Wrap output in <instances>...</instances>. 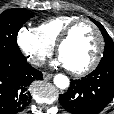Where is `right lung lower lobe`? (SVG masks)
Returning a JSON list of instances; mask_svg holds the SVG:
<instances>
[{
	"label": "right lung lower lobe",
	"mask_w": 114,
	"mask_h": 114,
	"mask_svg": "<svg viewBox=\"0 0 114 114\" xmlns=\"http://www.w3.org/2000/svg\"><path fill=\"white\" fill-rule=\"evenodd\" d=\"M39 79H43L42 73L25 56H0V114L21 112L31 100L29 85Z\"/></svg>",
	"instance_id": "right-lung-lower-lobe-1"
}]
</instances>
